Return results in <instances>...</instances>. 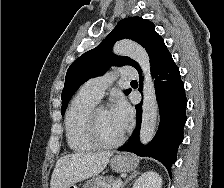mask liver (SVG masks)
I'll use <instances>...</instances> for the list:
<instances>
[{
    "instance_id": "obj_1",
    "label": "liver",
    "mask_w": 224,
    "mask_h": 188,
    "mask_svg": "<svg viewBox=\"0 0 224 188\" xmlns=\"http://www.w3.org/2000/svg\"><path fill=\"white\" fill-rule=\"evenodd\" d=\"M112 155V151H105L72 153L61 157L52 173L50 188H66L98 175Z\"/></svg>"
}]
</instances>
